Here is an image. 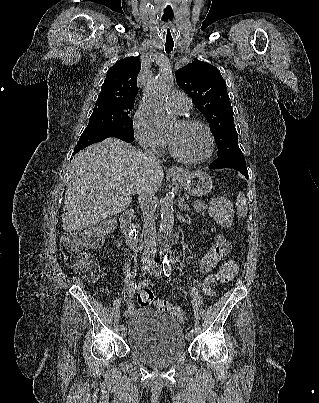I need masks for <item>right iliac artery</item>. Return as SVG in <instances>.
<instances>
[{
	"instance_id": "82829eb1",
	"label": "right iliac artery",
	"mask_w": 319,
	"mask_h": 403,
	"mask_svg": "<svg viewBox=\"0 0 319 403\" xmlns=\"http://www.w3.org/2000/svg\"><path fill=\"white\" fill-rule=\"evenodd\" d=\"M149 273H150V271H149ZM151 273H152V272H151ZM151 273H150V274H151ZM143 285H144V282H141L138 286H137V284H136L135 282H133V283L131 284L130 291H131L132 293H134L136 290L140 289L141 286H143ZM123 328H124V325L121 326V329H123Z\"/></svg>"
}]
</instances>
